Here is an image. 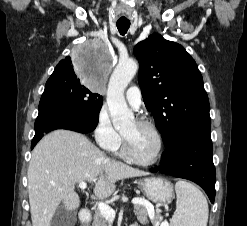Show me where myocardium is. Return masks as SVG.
Wrapping results in <instances>:
<instances>
[{
	"label": "myocardium",
	"mask_w": 247,
	"mask_h": 226,
	"mask_svg": "<svg viewBox=\"0 0 247 226\" xmlns=\"http://www.w3.org/2000/svg\"><path fill=\"white\" fill-rule=\"evenodd\" d=\"M135 123L138 126L150 129L154 133V135L157 138V142H158L157 152H156L155 156L149 160H142V159L135 157L130 150V147H129V144H128L126 137L123 134H122V151L124 153V156L129 161H131L137 165H140V166H152V165L158 163L159 160L161 159L162 155H163V152H164L163 136H162L160 130L157 128V126L154 123H152L151 121L142 119V120L135 121Z\"/></svg>",
	"instance_id": "f54148a6"
}]
</instances>
